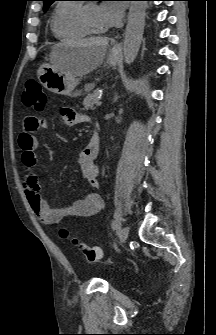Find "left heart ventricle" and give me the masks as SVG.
<instances>
[{"label":"left heart ventricle","mask_w":216,"mask_h":335,"mask_svg":"<svg viewBox=\"0 0 216 335\" xmlns=\"http://www.w3.org/2000/svg\"><path fill=\"white\" fill-rule=\"evenodd\" d=\"M86 13L88 20L92 27L97 30H104V26L102 24L100 14H99V7L96 4H90L86 7Z\"/></svg>","instance_id":"left-heart-ventricle-1"}]
</instances>
